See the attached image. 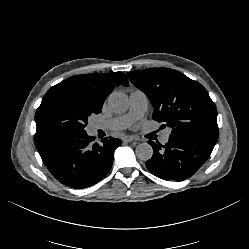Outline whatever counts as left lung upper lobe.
I'll return each mask as SVG.
<instances>
[{
  "mask_svg": "<svg viewBox=\"0 0 249 249\" xmlns=\"http://www.w3.org/2000/svg\"><path fill=\"white\" fill-rule=\"evenodd\" d=\"M130 81L150 99L152 118L185 134L217 142V109L206 89L179 71L148 68L127 73Z\"/></svg>",
  "mask_w": 249,
  "mask_h": 249,
  "instance_id": "1",
  "label": "left lung upper lobe"
}]
</instances>
